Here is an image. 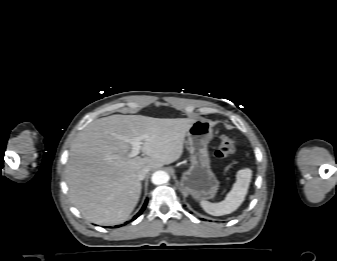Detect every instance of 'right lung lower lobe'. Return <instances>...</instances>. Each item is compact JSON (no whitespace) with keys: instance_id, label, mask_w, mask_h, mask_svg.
I'll list each match as a JSON object with an SVG mask.
<instances>
[{"instance_id":"1","label":"right lung lower lobe","mask_w":337,"mask_h":261,"mask_svg":"<svg viewBox=\"0 0 337 261\" xmlns=\"http://www.w3.org/2000/svg\"><path fill=\"white\" fill-rule=\"evenodd\" d=\"M148 203V199H146L143 207L141 208V210L137 213V215L134 216V218L132 220H135L140 214H142V212L144 211V209L146 208V205Z\"/></svg>"}]
</instances>
